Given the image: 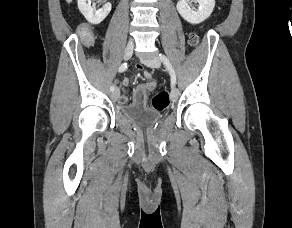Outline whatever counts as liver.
Wrapping results in <instances>:
<instances>
[{"instance_id":"obj_1","label":"liver","mask_w":292,"mask_h":228,"mask_svg":"<svg viewBox=\"0 0 292 228\" xmlns=\"http://www.w3.org/2000/svg\"><path fill=\"white\" fill-rule=\"evenodd\" d=\"M73 0H66L67 3H71Z\"/></svg>"}]
</instances>
